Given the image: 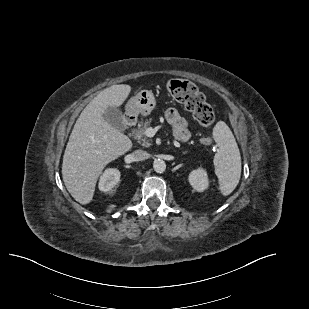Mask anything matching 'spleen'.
<instances>
[{
    "mask_svg": "<svg viewBox=\"0 0 309 309\" xmlns=\"http://www.w3.org/2000/svg\"><path fill=\"white\" fill-rule=\"evenodd\" d=\"M213 137L219 147L213 160L219 189L222 195L228 196L237 187L240 180V151L230 128L225 122L219 121L215 125Z\"/></svg>",
    "mask_w": 309,
    "mask_h": 309,
    "instance_id": "1",
    "label": "spleen"
}]
</instances>
